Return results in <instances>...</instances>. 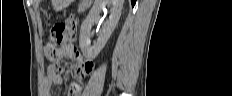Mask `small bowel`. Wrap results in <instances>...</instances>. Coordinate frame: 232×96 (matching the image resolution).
Segmentation results:
<instances>
[{
	"label": "small bowel",
	"instance_id": "c3829d8e",
	"mask_svg": "<svg viewBox=\"0 0 232 96\" xmlns=\"http://www.w3.org/2000/svg\"><path fill=\"white\" fill-rule=\"evenodd\" d=\"M69 15H65L64 19L67 20L65 35L66 39H78L77 32H81L79 11H69ZM48 45L45 46V49ZM68 57H75L80 59L79 52L71 51L68 53ZM87 68H94V63L83 62L80 60L78 65V76L84 77L87 73ZM63 83V73L54 66H50L47 70V74L44 78V94L49 95L52 85H61ZM81 87L79 84L74 83L69 87L68 96H79Z\"/></svg>",
	"mask_w": 232,
	"mask_h": 96
}]
</instances>
